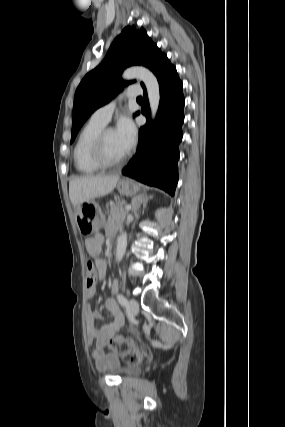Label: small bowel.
Returning <instances> with one entry per match:
<instances>
[{
  "mask_svg": "<svg viewBox=\"0 0 285 427\" xmlns=\"http://www.w3.org/2000/svg\"><path fill=\"white\" fill-rule=\"evenodd\" d=\"M104 238L101 234H95L93 237L86 240V249L87 252L94 258L97 259V272L99 279H103L105 275V265L98 258L102 249ZM118 288L117 284L114 283L112 288L113 296L109 297L105 301V307L112 315V321L108 324L101 326L99 329L95 328V321L100 319L102 315L88 308V319H87V332L90 338L95 341V349L91 351V357L95 361L98 369L106 370L112 364L116 363L118 360L115 356L111 354H106L104 350L108 347L110 340L115 337L123 328L125 323V318L120 310L114 295L116 294ZM96 295L95 286L87 288L86 297L89 299L94 298Z\"/></svg>",
  "mask_w": 285,
  "mask_h": 427,
  "instance_id": "1",
  "label": "small bowel"
}]
</instances>
